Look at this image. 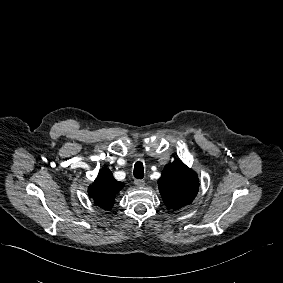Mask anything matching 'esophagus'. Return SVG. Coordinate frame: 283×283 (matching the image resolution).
Here are the masks:
<instances>
[{
    "instance_id": "1",
    "label": "esophagus",
    "mask_w": 283,
    "mask_h": 283,
    "mask_svg": "<svg viewBox=\"0 0 283 283\" xmlns=\"http://www.w3.org/2000/svg\"><path fill=\"white\" fill-rule=\"evenodd\" d=\"M134 184L137 187H143V186H145V180H143V179H135L134 180Z\"/></svg>"
}]
</instances>
